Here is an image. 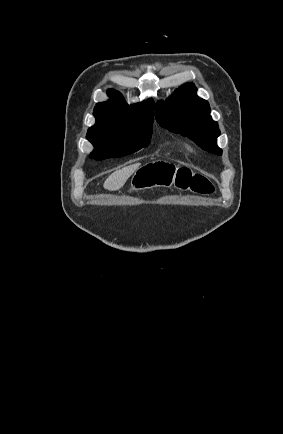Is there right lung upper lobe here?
<instances>
[{
	"label": "right lung upper lobe",
	"mask_w": 283,
	"mask_h": 434,
	"mask_svg": "<svg viewBox=\"0 0 283 434\" xmlns=\"http://www.w3.org/2000/svg\"><path fill=\"white\" fill-rule=\"evenodd\" d=\"M110 100L98 103L94 108L96 124L89 129L126 128L153 123L154 101L128 105L116 90H108Z\"/></svg>",
	"instance_id": "right-lung-upper-lobe-1"
}]
</instances>
